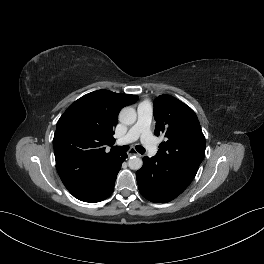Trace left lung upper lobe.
Returning <instances> with one entry per match:
<instances>
[{"label": "left lung upper lobe", "mask_w": 264, "mask_h": 264, "mask_svg": "<svg viewBox=\"0 0 264 264\" xmlns=\"http://www.w3.org/2000/svg\"><path fill=\"white\" fill-rule=\"evenodd\" d=\"M154 134H165L157 156L166 164L197 172L205 156L206 141L194 111L180 100L160 95L154 101Z\"/></svg>", "instance_id": "left-lung-upper-lobe-1"}]
</instances>
